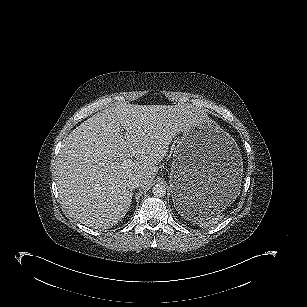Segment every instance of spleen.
I'll list each match as a JSON object with an SVG mask.
<instances>
[{
	"instance_id": "obj_1",
	"label": "spleen",
	"mask_w": 307,
	"mask_h": 307,
	"mask_svg": "<svg viewBox=\"0 0 307 307\" xmlns=\"http://www.w3.org/2000/svg\"><path fill=\"white\" fill-rule=\"evenodd\" d=\"M224 215L221 211L216 213H209L205 211H200L197 215H195L192 219L197 225L200 227H211L217 224L219 221L223 219Z\"/></svg>"
}]
</instances>
